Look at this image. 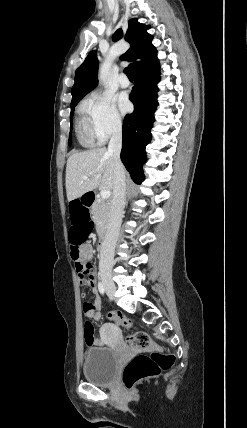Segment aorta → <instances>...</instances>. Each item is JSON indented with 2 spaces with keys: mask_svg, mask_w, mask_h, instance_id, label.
I'll use <instances>...</instances> for the list:
<instances>
[{
  "mask_svg": "<svg viewBox=\"0 0 247 428\" xmlns=\"http://www.w3.org/2000/svg\"><path fill=\"white\" fill-rule=\"evenodd\" d=\"M118 54L119 51L117 49H111L99 69L98 79L103 85L107 84L112 61L118 56Z\"/></svg>",
  "mask_w": 247,
  "mask_h": 428,
  "instance_id": "aorta-1",
  "label": "aorta"
}]
</instances>
